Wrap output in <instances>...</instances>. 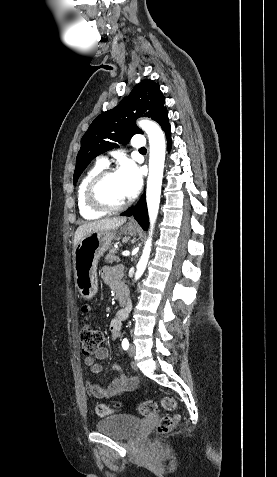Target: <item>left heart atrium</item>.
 I'll use <instances>...</instances> for the list:
<instances>
[{
	"instance_id": "obj_1",
	"label": "left heart atrium",
	"mask_w": 277,
	"mask_h": 477,
	"mask_svg": "<svg viewBox=\"0 0 277 477\" xmlns=\"http://www.w3.org/2000/svg\"><path fill=\"white\" fill-rule=\"evenodd\" d=\"M124 194L127 198L134 197L141 188L142 174L135 163L125 161L117 171Z\"/></svg>"
}]
</instances>
